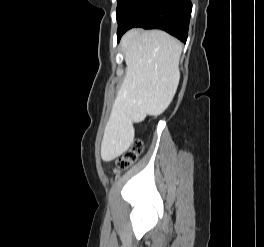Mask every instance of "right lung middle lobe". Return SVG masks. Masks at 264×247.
I'll return each instance as SVG.
<instances>
[{"instance_id": "dd1d6c3e", "label": "right lung middle lobe", "mask_w": 264, "mask_h": 247, "mask_svg": "<svg viewBox=\"0 0 264 247\" xmlns=\"http://www.w3.org/2000/svg\"><path fill=\"white\" fill-rule=\"evenodd\" d=\"M117 2H118V4H117V9H116V16H117V20H119L125 6L129 2V0H117Z\"/></svg>"}]
</instances>
